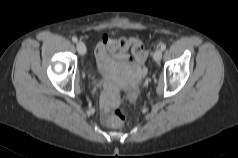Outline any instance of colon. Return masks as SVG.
<instances>
[{"label":"colon","instance_id":"obj_1","mask_svg":"<svg viewBox=\"0 0 238 158\" xmlns=\"http://www.w3.org/2000/svg\"><path fill=\"white\" fill-rule=\"evenodd\" d=\"M114 47L122 53L130 51L137 62H144L147 58V50L143 43L135 38H120L115 40ZM121 107L114 109L105 119L106 124L111 128H119L125 123L127 112L125 105L129 103V98L123 96L120 100Z\"/></svg>","mask_w":238,"mask_h":158}]
</instances>
